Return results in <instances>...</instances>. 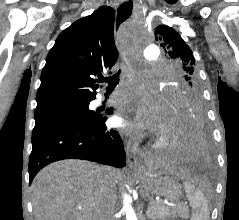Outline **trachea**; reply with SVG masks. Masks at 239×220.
<instances>
[{
	"label": "trachea",
	"instance_id": "1",
	"mask_svg": "<svg viewBox=\"0 0 239 220\" xmlns=\"http://www.w3.org/2000/svg\"><path fill=\"white\" fill-rule=\"evenodd\" d=\"M119 75H120V71L111 77L100 79L99 82L105 81L106 83H108V86L106 88L107 91L114 90L117 84L119 83Z\"/></svg>",
	"mask_w": 239,
	"mask_h": 220
}]
</instances>
